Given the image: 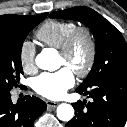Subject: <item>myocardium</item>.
I'll list each match as a JSON object with an SVG mask.
<instances>
[{
  "instance_id": "f54148a6",
  "label": "myocardium",
  "mask_w": 127,
  "mask_h": 127,
  "mask_svg": "<svg viewBox=\"0 0 127 127\" xmlns=\"http://www.w3.org/2000/svg\"><path fill=\"white\" fill-rule=\"evenodd\" d=\"M85 39L88 45V57L83 68L74 70L78 77L87 76L93 69L97 56V41L93 31L87 26L77 27L64 41L59 49L60 55L68 60L74 47L80 39Z\"/></svg>"
}]
</instances>
